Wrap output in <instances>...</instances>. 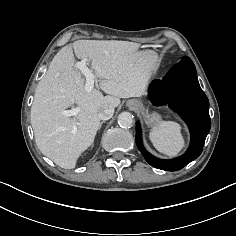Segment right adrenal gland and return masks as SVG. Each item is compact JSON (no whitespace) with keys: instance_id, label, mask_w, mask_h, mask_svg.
Masks as SVG:
<instances>
[{"instance_id":"2a0ac1e0","label":"right adrenal gland","mask_w":236,"mask_h":236,"mask_svg":"<svg viewBox=\"0 0 236 236\" xmlns=\"http://www.w3.org/2000/svg\"><path fill=\"white\" fill-rule=\"evenodd\" d=\"M105 121H102L101 123H100V128H101V126H102V124L104 123Z\"/></svg>"}]
</instances>
